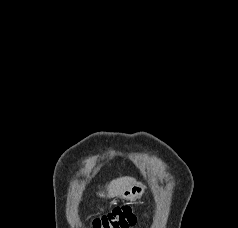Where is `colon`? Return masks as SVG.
Instances as JSON below:
<instances>
[{
    "label": "colon",
    "mask_w": 238,
    "mask_h": 228,
    "mask_svg": "<svg viewBox=\"0 0 238 228\" xmlns=\"http://www.w3.org/2000/svg\"><path fill=\"white\" fill-rule=\"evenodd\" d=\"M137 215L128 205L116 206L110 211L94 218L89 228H134Z\"/></svg>",
    "instance_id": "obj_1"
}]
</instances>
